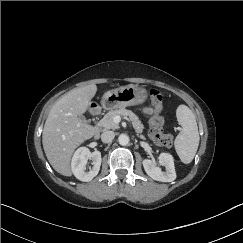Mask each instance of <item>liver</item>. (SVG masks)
<instances>
[{
  "instance_id": "liver-1",
  "label": "liver",
  "mask_w": 243,
  "mask_h": 243,
  "mask_svg": "<svg viewBox=\"0 0 243 243\" xmlns=\"http://www.w3.org/2000/svg\"><path fill=\"white\" fill-rule=\"evenodd\" d=\"M97 92L90 84L64 94L50 109L45 121L42 143L51 166L64 176H71V157L75 149L92 138L96 128L81 120Z\"/></svg>"
}]
</instances>
